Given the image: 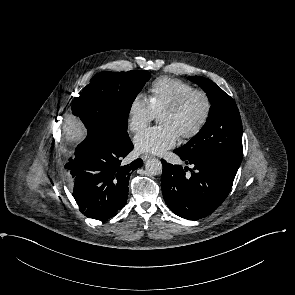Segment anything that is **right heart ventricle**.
I'll return each instance as SVG.
<instances>
[{
  "label": "right heart ventricle",
  "mask_w": 295,
  "mask_h": 295,
  "mask_svg": "<svg viewBox=\"0 0 295 295\" xmlns=\"http://www.w3.org/2000/svg\"><path fill=\"white\" fill-rule=\"evenodd\" d=\"M193 89L184 80L162 76L152 82L149 100L156 115H159Z\"/></svg>",
  "instance_id": "right-heart-ventricle-1"
}]
</instances>
